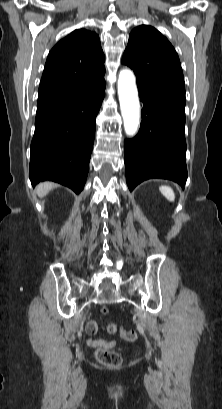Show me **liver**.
<instances>
[{"label": "liver", "instance_id": "1", "mask_svg": "<svg viewBox=\"0 0 222 409\" xmlns=\"http://www.w3.org/2000/svg\"><path fill=\"white\" fill-rule=\"evenodd\" d=\"M54 187L52 183H41L37 186V194L39 197H44Z\"/></svg>", "mask_w": 222, "mask_h": 409}]
</instances>
